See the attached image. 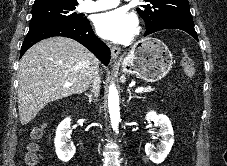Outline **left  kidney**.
Listing matches in <instances>:
<instances>
[{"instance_id":"obj_1","label":"left kidney","mask_w":227,"mask_h":166,"mask_svg":"<svg viewBox=\"0 0 227 166\" xmlns=\"http://www.w3.org/2000/svg\"><path fill=\"white\" fill-rule=\"evenodd\" d=\"M147 121H153L154 126L159 128L158 136L162 137V141L157 152L154 151V146L151 143L145 145V153L149 156L153 163H162L174 144V132L169 118L166 115H158L155 111L148 112L146 115Z\"/></svg>"}]
</instances>
